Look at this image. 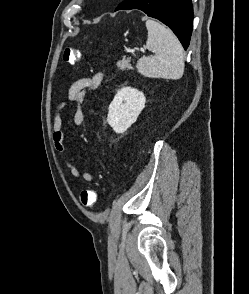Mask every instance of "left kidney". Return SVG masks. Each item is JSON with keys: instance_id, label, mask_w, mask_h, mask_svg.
Masks as SVG:
<instances>
[{"instance_id": "obj_1", "label": "left kidney", "mask_w": 249, "mask_h": 294, "mask_svg": "<svg viewBox=\"0 0 249 294\" xmlns=\"http://www.w3.org/2000/svg\"><path fill=\"white\" fill-rule=\"evenodd\" d=\"M145 103L146 98L143 92L132 87H123L117 92L109 106L108 124L116 133L125 132L136 122Z\"/></svg>"}]
</instances>
